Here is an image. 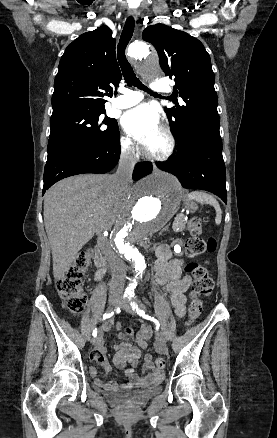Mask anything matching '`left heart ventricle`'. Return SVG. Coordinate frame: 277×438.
I'll return each mask as SVG.
<instances>
[{
	"instance_id": "1",
	"label": "left heart ventricle",
	"mask_w": 277,
	"mask_h": 438,
	"mask_svg": "<svg viewBox=\"0 0 277 438\" xmlns=\"http://www.w3.org/2000/svg\"><path fill=\"white\" fill-rule=\"evenodd\" d=\"M166 148H167V140L161 132H158L150 140L145 151L152 155H161L165 152Z\"/></svg>"
}]
</instances>
